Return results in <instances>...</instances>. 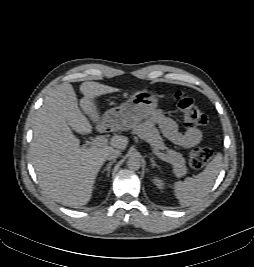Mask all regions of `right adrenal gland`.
Masks as SVG:
<instances>
[{
	"instance_id": "right-adrenal-gland-1",
	"label": "right adrenal gland",
	"mask_w": 254,
	"mask_h": 267,
	"mask_svg": "<svg viewBox=\"0 0 254 267\" xmlns=\"http://www.w3.org/2000/svg\"><path fill=\"white\" fill-rule=\"evenodd\" d=\"M116 162V160H113L111 162L108 163L107 167H105L102 171V173L106 172L107 171V176L109 177L110 176V169H111V166Z\"/></svg>"
}]
</instances>
